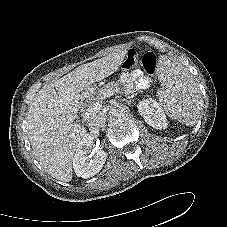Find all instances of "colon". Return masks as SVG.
Returning <instances> with one entry per match:
<instances>
[{
	"mask_svg": "<svg viewBox=\"0 0 227 227\" xmlns=\"http://www.w3.org/2000/svg\"><path fill=\"white\" fill-rule=\"evenodd\" d=\"M139 64L149 75L156 74L158 69L157 57L153 52H146L140 57L137 51H129L123 62V68L126 70H131L137 67Z\"/></svg>",
	"mask_w": 227,
	"mask_h": 227,
	"instance_id": "colon-1",
	"label": "colon"
}]
</instances>
